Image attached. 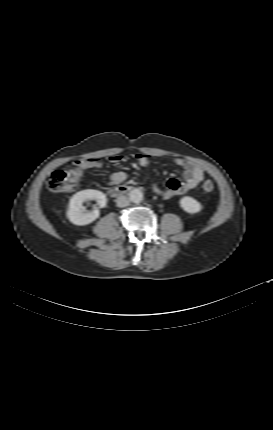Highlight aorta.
<instances>
[{
	"instance_id": "762f6f07",
	"label": "aorta",
	"mask_w": 273,
	"mask_h": 430,
	"mask_svg": "<svg viewBox=\"0 0 273 430\" xmlns=\"http://www.w3.org/2000/svg\"><path fill=\"white\" fill-rule=\"evenodd\" d=\"M129 200L134 204H139L143 200V192L139 188L132 189L129 194Z\"/></svg>"
}]
</instances>
